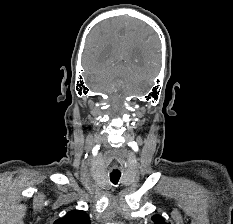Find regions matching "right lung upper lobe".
I'll list each match as a JSON object with an SVG mask.
<instances>
[{"label": "right lung upper lobe", "mask_w": 233, "mask_h": 224, "mask_svg": "<svg viewBox=\"0 0 233 224\" xmlns=\"http://www.w3.org/2000/svg\"><path fill=\"white\" fill-rule=\"evenodd\" d=\"M54 224H91V222L88 214L85 211L72 210L63 218L56 220Z\"/></svg>", "instance_id": "cb5924a9"}]
</instances>
